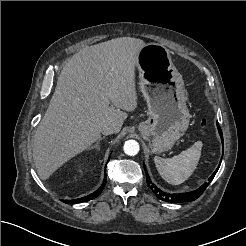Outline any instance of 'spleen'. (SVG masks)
Wrapping results in <instances>:
<instances>
[{"label": "spleen", "mask_w": 246, "mask_h": 246, "mask_svg": "<svg viewBox=\"0 0 246 246\" xmlns=\"http://www.w3.org/2000/svg\"><path fill=\"white\" fill-rule=\"evenodd\" d=\"M203 143L195 142L190 148L172 158L156 156L154 162L160 176L169 184L184 183L195 171L201 157Z\"/></svg>", "instance_id": "3e777b00"}]
</instances>
